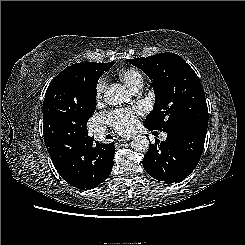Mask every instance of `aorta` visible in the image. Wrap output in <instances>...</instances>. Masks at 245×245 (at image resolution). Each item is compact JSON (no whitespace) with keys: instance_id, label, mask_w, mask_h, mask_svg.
Segmentation results:
<instances>
[{"instance_id":"obj_1","label":"aorta","mask_w":245,"mask_h":245,"mask_svg":"<svg viewBox=\"0 0 245 245\" xmlns=\"http://www.w3.org/2000/svg\"><path fill=\"white\" fill-rule=\"evenodd\" d=\"M129 98L126 88L121 84H112L104 92V101L108 105H120ZM131 147L135 151H146L149 148V140L145 135H137L131 141Z\"/></svg>"}]
</instances>
